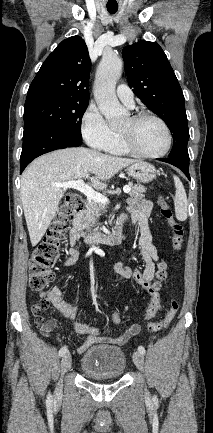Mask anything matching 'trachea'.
<instances>
[{
  "label": "trachea",
  "mask_w": 213,
  "mask_h": 433,
  "mask_svg": "<svg viewBox=\"0 0 213 433\" xmlns=\"http://www.w3.org/2000/svg\"><path fill=\"white\" fill-rule=\"evenodd\" d=\"M107 10L110 14H115L118 10V7H107Z\"/></svg>",
  "instance_id": "obj_1"
}]
</instances>
